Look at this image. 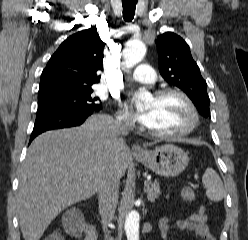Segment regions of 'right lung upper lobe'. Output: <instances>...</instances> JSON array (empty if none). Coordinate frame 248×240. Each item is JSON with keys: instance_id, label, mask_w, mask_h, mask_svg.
I'll use <instances>...</instances> for the list:
<instances>
[{"instance_id": "cb5924a9", "label": "right lung upper lobe", "mask_w": 248, "mask_h": 240, "mask_svg": "<svg viewBox=\"0 0 248 240\" xmlns=\"http://www.w3.org/2000/svg\"><path fill=\"white\" fill-rule=\"evenodd\" d=\"M104 45L95 27L68 37L43 70L38 97L78 92L98 83Z\"/></svg>"}]
</instances>
